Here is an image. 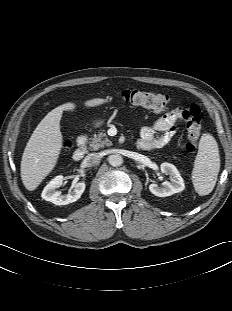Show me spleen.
Returning <instances> with one entry per match:
<instances>
[{
	"instance_id": "spleen-1",
	"label": "spleen",
	"mask_w": 232,
	"mask_h": 311,
	"mask_svg": "<svg viewBox=\"0 0 232 311\" xmlns=\"http://www.w3.org/2000/svg\"><path fill=\"white\" fill-rule=\"evenodd\" d=\"M219 170L218 144L211 134L204 133L199 141L198 153L192 171V182L199 195L204 196L212 192Z\"/></svg>"
}]
</instances>
